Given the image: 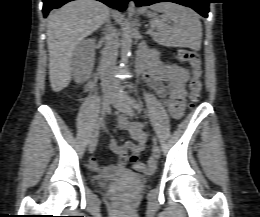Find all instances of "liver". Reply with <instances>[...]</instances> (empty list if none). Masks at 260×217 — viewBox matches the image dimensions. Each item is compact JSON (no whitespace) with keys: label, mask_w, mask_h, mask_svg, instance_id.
<instances>
[{"label":"liver","mask_w":260,"mask_h":217,"mask_svg":"<svg viewBox=\"0 0 260 217\" xmlns=\"http://www.w3.org/2000/svg\"><path fill=\"white\" fill-rule=\"evenodd\" d=\"M108 19V7L96 0H75L49 14L47 44L53 91L59 92L69 85L77 45Z\"/></svg>","instance_id":"6515ba94"}]
</instances>
